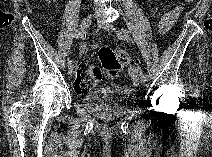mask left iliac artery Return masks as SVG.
I'll return each mask as SVG.
<instances>
[{"label": "left iliac artery", "instance_id": "left-iliac-artery-1", "mask_svg": "<svg viewBox=\"0 0 212 157\" xmlns=\"http://www.w3.org/2000/svg\"><path fill=\"white\" fill-rule=\"evenodd\" d=\"M118 38L119 39H123V40H129L130 39V35H129L128 30H126V29L119 30ZM144 79H145V81L150 80V75L148 73H144Z\"/></svg>", "mask_w": 212, "mask_h": 157}]
</instances>
